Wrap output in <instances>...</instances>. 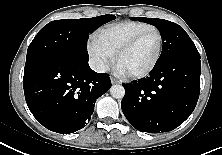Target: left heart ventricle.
<instances>
[{
	"label": "left heart ventricle",
	"mask_w": 222,
	"mask_h": 155,
	"mask_svg": "<svg viewBox=\"0 0 222 155\" xmlns=\"http://www.w3.org/2000/svg\"><path fill=\"white\" fill-rule=\"evenodd\" d=\"M159 48V37L156 32L145 35L132 49L122 54L118 60L127 74L146 70L155 60Z\"/></svg>",
	"instance_id": "1"
}]
</instances>
